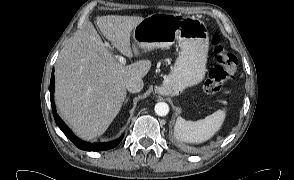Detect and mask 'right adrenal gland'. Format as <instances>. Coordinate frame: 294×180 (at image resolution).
<instances>
[{
	"label": "right adrenal gland",
	"mask_w": 294,
	"mask_h": 180,
	"mask_svg": "<svg viewBox=\"0 0 294 180\" xmlns=\"http://www.w3.org/2000/svg\"><path fill=\"white\" fill-rule=\"evenodd\" d=\"M128 100H129V97H127V98L125 99L124 104H126V103L128 102Z\"/></svg>",
	"instance_id": "2a0ac1e0"
}]
</instances>
